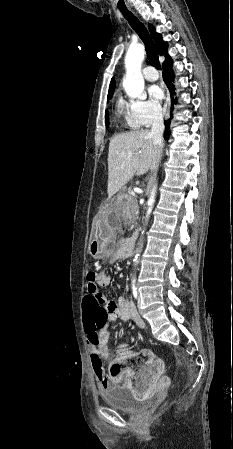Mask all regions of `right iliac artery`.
Segmentation results:
<instances>
[{
	"label": "right iliac artery",
	"instance_id": "obj_1",
	"mask_svg": "<svg viewBox=\"0 0 233 449\" xmlns=\"http://www.w3.org/2000/svg\"><path fill=\"white\" fill-rule=\"evenodd\" d=\"M132 293L135 299H137L138 297V292H137V288L135 286L132 287Z\"/></svg>",
	"mask_w": 233,
	"mask_h": 449
}]
</instances>
